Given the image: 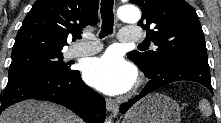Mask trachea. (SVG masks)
Here are the masks:
<instances>
[{"instance_id": "trachea-1", "label": "trachea", "mask_w": 221, "mask_h": 123, "mask_svg": "<svg viewBox=\"0 0 221 123\" xmlns=\"http://www.w3.org/2000/svg\"><path fill=\"white\" fill-rule=\"evenodd\" d=\"M113 0H102L101 1V18H102V29L99 34L100 38H104L109 34L113 33V23H114V14H113Z\"/></svg>"}]
</instances>
